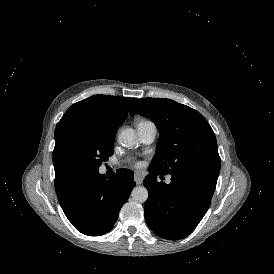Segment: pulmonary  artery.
Listing matches in <instances>:
<instances>
[{"label": "pulmonary artery", "mask_w": 274, "mask_h": 274, "mask_svg": "<svg viewBox=\"0 0 274 274\" xmlns=\"http://www.w3.org/2000/svg\"><path fill=\"white\" fill-rule=\"evenodd\" d=\"M136 130L140 141L144 144H151L157 135V128L151 121H141ZM166 182L168 184L171 182V176L167 177Z\"/></svg>", "instance_id": "1"}]
</instances>
